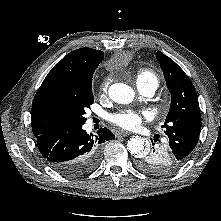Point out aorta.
Listing matches in <instances>:
<instances>
[{
	"instance_id": "obj_1",
	"label": "aorta",
	"mask_w": 221,
	"mask_h": 221,
	"mask_svg": "<svg viewBox=\"0 0 221 221\" xmlns=\"http://www.w3.org/2000/svg\"><path fill=\"white\" fill-rule=\"evenodd\" d=\"M134 90L123 83L112 84L109 88V97L119 104H129L134 98ZM128 151L136 158H141L149 152L146 140L140 136H134L128 140Z\"/></svg>"
}]
</instances>
